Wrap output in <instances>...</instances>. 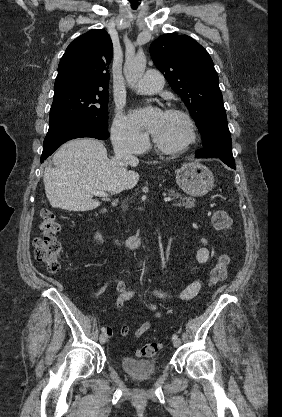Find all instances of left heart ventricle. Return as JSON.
I'll return each mask as SVG.
<instances>
[{
  "label": "left heart ventricle",
  "instance_id": "1",
  "mask_svg": "<svg viewBox=\"0 0 282 417\" xmlns=\"http://www.w3.org/2000/svg\"><path fill=\"white\" fill-rule=\"evenodd\" d=\"M154 134L161 142L172 145L183 141L187 135V130L181 118L162 114L159 128Z\"/></svg>",
  "mask_w": 282,
  "mask_h": 417
}]
</instances>
